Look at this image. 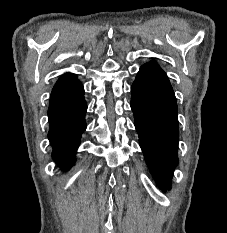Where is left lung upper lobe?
<instances>
[{
  "instance_id": "5c2ea615",
  "label": "left lung upper lobe",
  "mask_w": 227,
  "mask_h": 233,
  "mask_svg": "<svg viewBox=\"0 0 227 233\" xmlns=\"http://www.w3.org/2000/svg\"><path fill=\"white\" fill-rule=\"evenodd\" d=\"M145 65H151V66H155L159 69H161L155 62H152V63H146Z\"/></svg>"
}]
</instances>
